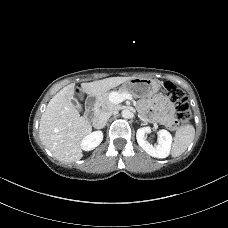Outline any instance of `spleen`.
<instances>
[{
    "instance_id": "3e777b00",
    "label": "spleen",
    "mask_w": 228,
    "mask_h": 228,
    "mask_svg": "<svg viewBox=\"0 0 228 228\" xmlns=\"http://www.w3.org/2000/svg\"><path fill=\"white\" fill-rule=\"evenodd\" d=\"M195 136V129L192 125L186 124L181 126L175 134L174 143L172 146V156L178 157L183 154Z\"/></svg>"
}]
</instances>
